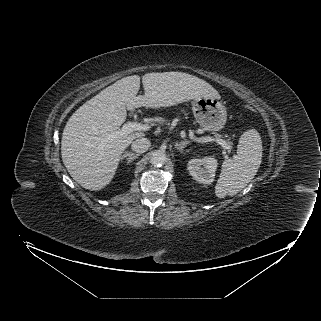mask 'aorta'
I'll list each match as a JSON object with an SVG mask.
<instances>
[{
	"mask_svg": "<svg viewBox=\"0 0 321 321\" xmlns=\"http://www.w3.org/2000/svg\"><path fill=\"white\" fill-rule=\"evenodd\" d=\"M166 155L160 150H156L152 153L150 162L153 166L161 167L166 163Z\"/></svg>",
	"mask_w": 321,
	"mask_h": 321,
	"instance_id": "762f6f07",
	"label": "aorta"
}]
</instances>
